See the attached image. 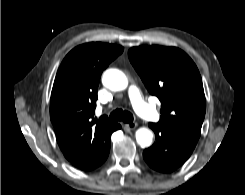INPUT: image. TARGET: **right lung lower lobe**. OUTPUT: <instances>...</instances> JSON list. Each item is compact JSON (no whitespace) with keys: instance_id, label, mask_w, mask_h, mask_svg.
Wrapping results in <instances>:
<instances>
[{"instance_id":"98d812e1","label":"right lung lower lobe","mask_w":245,"mask_h":195,"mask_svg":"<svg viewBox=\"0 0 245 195\" xmlns=\"http://www.w3.org/2000/svg\"><path fill=\"white\" fill-rule=\"evenodd\" d=\"M120 128L121 126L117 123L112 132ZM112 132L108 135L103 136V139L99 142V144L101 145V148H100V153H99V161H98L99 165L98 166H100L108 157L109 150H110V136Z\"/></svg>"}]
</instances>
